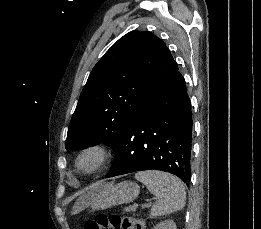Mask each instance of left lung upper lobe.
<instances>
[{
    "label": "left lung upper lobe",
    "instance_id": "obj_1",
    "mask_svg": "<svg viewBox=\"0 0 261 229\" xmlns=\"http://www.w3.org/2000/svg\"><path fill=\"white\" fill-rule=\"evenodd\" d=\"M177 70L160 38L148 31L124 35L92 69L70 121L65 148L104 143L115 151L148 96Z\"/></svg>",
    "mask_w": 261,
    "mask_h": 229
}]
</instances>
